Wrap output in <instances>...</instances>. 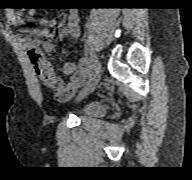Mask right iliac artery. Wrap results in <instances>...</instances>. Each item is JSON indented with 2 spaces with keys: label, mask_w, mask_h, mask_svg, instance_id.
Returning <instances> with one entry per match:
<instances>
[{
  "label": "right iliac artery",
  "mask_w": 192,
  "mask_h": 180,
  "mask_svg": "<svg viewBox=\"0 0 192 180\" xmlns=\"http://www.w3.org/2000/svg\"><path fill=\"white\" fill-rule=\"evenodd\" d=\"M86 52L89 55V67L90 69H94L98 63L97 57L90 51L89 47H86Z\"/></svg>",
  "instance_id": "right-iliac-artery-1"
}]
</instances>
